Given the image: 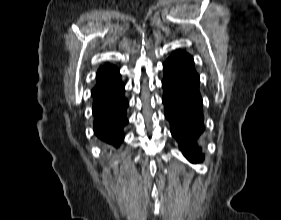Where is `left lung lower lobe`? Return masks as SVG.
Instances as JSON below:
<instances>
[{
    "mask_svg": "<svg viewBox=\"0 0 281 220\" xmlns=\"http://www.w3.org/2000/svg\"><path fill=\"white\" fill-rule=\"evenodd\" d=\"M163 69L162 101L171 134L190 162H200L203 156L199 141L204 132V116L199 75L195 71L193 57L183 50H177L163 64Z\"/></svg>",
    "mask_w": 281,
    "mask_h": 220,
    "instance_id": "0a47b994",
    "label": "left lung lower lobe"
}]
</instances>
